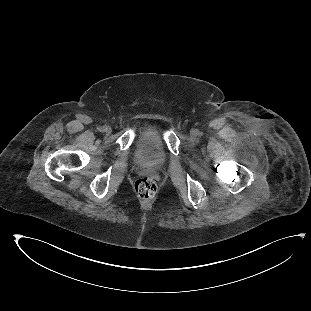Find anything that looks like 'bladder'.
<instances>
[{
    "instance_id": "obj_1",
    "label": "bladder",
    "mask_w": 311,
    "mask_h": 311,
    "mask_svg": "<svg viewBox=\"0 0 311 311\" xmlns=\"http://www.w3.org/2000/svg\"><path fill=\"white\" fill-rule=\"evenodd\" d=\"M165 134L155 128L142 133L132 155L134 163L141 168H162L169 161V150L165 144Z\"/></svg>"
}]
</instances>
